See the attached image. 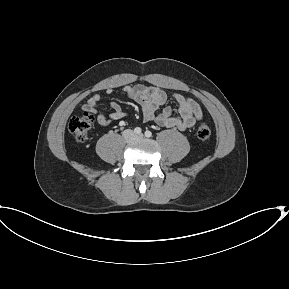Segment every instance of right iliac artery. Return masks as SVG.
I'll return each mask as SVG.
<instances>
[{
	"label": "right iliac artery",
	"mask_w": 289,
	"mask_h": 289,
	"mask_svg": "<svg viewBox=\"0 0 289 289\" xmlns=\"http://www.w3.org/2000/svg\"><path fill=\"white\" fill-rule=\"evenodd\" d=\"M141 132H142V130H141L140 127H136V128L134 129V133H136V134H141Z\"/></svg>",
	"instance_id": "obj_1"
}]
</instances>
